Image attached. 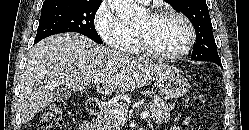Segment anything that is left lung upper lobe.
<instances>
[{
	"label": "left lung upper lobe",
	"instance_id": "left-lung-upper-lobe-1",
	"mask_svg": "<svg viewBox=\"0 0 249 130\" xmlns=\"http://www.w3.org/2000/svg\"><path fill=\"white\" fill-rule=\"evenodd\" d=\"M176 11L182 12L192 22L196 32V44L192 60H220L212 31L211 19L205 0H167Z\"/></svg>",
	"mask_w": 249,
	"mask_h": 130
}]
</instances>
